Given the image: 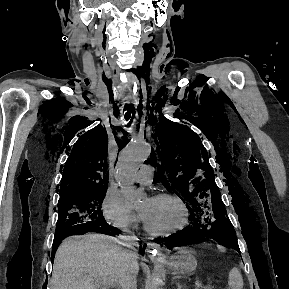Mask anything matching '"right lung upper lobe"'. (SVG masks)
<instances>
[{"label": "right lung upper lobe", "instance_id": "right-lung-upper-lobe-1", "mask_svg": "<svg viewBox=\"0 0 289 289\" xmlns=\"http://www.w3.org/2000/svg\"><path fill=\"white\" fill-rule=\"evenodd\" d=\"M107 156L106 133L98 125L80 137L72 149L57 186L60 196L107 188Z\"/></svg>", "mask_w": 289, "mask_h": 289}]
</instances>
